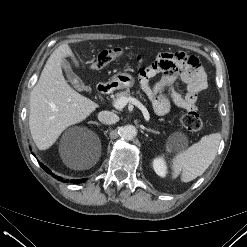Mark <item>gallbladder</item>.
Segmentation results:
<instances>
[{"instance_id": "obj_1", "label": "gallbladder", "mask_w": 247, "mask_h": 247, "mask_svg": "<svg viewBox=\"0 0 247 247\" xmlns=\"http://www.w3.org/2000/svg\"><path fill=\"white\" fill-rule=\"evenodd\" d=\"M62 68H63L69 82L76 85L77 87H80L83 85L80 78L73 72L70 63L67 60L63 61Z\"/></svg>"}]
</instances>
